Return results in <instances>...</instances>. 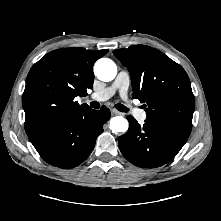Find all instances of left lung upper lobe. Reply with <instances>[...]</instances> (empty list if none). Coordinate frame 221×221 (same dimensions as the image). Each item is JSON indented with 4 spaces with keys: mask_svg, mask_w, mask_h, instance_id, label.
<instances>
[{
    "mask_svg": "<svg viewBox=\"0 0 221 221\" xmlns=\"http://www.w3.org/2000/svg\"><path fill=\"white\" fill-rule=\"evenodd\" d=\"M113 53L130 72L132 97L147 103L146 120L189 137L195 99L185 70L164 53L145 45Z\"/></svg>",
    "mask_w": 221,
    "mask_h": 221,
    "instance_id": "left-lung-upper-lobe-1",
    "label": "left lung upper lobe"
}]
</instances>
